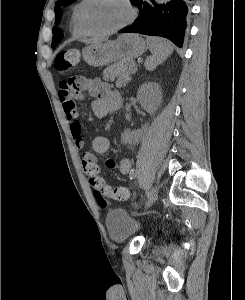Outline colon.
I'll use <instances>...</instances> for the list:
<instances>
[{
	"label": "colon",
	"instance_id": "colon-1",
	"mask_svg": "<svg viewBox=\"0 0 245 300\" xmlns=\"http://www.w3.org/2000/svg\"><path fill=\"white\" fill-rule=\"evenodd\" d=\"M79 62L77 50H65L59 52L54 60V68L59 74H65ZM66 86L73 91H80L81 84L79 79L70 78L66 81ZM90 183L94 188L95 198L101 208L108 205L106 198L115 200H127L131 197L130 191L125 187H110L98 175L90 178Z\"/></svg>",
	"mask_w": 245,
	"mask_h": 300
}]
</instances>
